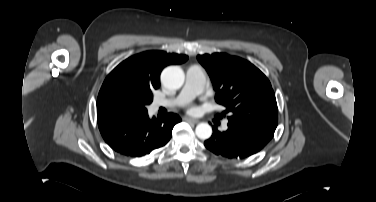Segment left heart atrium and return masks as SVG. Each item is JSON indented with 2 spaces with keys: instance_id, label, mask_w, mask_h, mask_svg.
<instances>
[{
  "instance_id": "1",
  "label": "left heart atrium",
  "mask_w": 376,
  "mask_h": 202,
  "mask_svg": "<svg viewBox=\"0 0 376 202\" xmlns=\"http://www.w3.org/2000/svg\"><path fill=\"white\" fill-rule=\"evenodd\" d=\"M191 110H192V111H194V110H195V108H192Z\"/></svg>"
}]
</instances>
